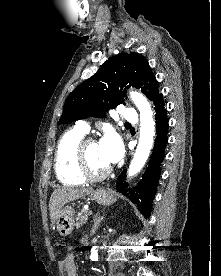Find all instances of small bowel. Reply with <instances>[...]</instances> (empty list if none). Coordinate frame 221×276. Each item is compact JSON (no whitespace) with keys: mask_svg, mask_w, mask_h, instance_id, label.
<instances>
[{"mask_svg":"<svg viewBox=\"0 0 221 276\" xmlns=\"http://www.w3.org/2000/svg\"><path fill=\"white\" fill-rule=\"evenodd\" d=\"M64 270L67 276H77V265L74 255L69 251L63 261Z\"/></svg>","mask_w":221,"mask_h":276,"instance_id":"small-bowel-1","label":"small bowel"}]
</instances>
